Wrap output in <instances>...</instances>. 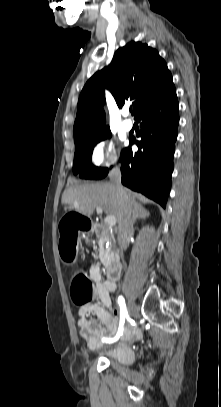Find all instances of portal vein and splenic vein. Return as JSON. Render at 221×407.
Instances as JSON below:
<instances>
[{
	"instance_id": "1",
	"label": "portal vein and splenic vein",
	"mask_w": 221,
	"mask_h": 407,
	"mask_svg": "<svg viewBox=\"0 0 221 407\" xmlns=\"http://www.w3.org/2000/svg\"><path fill=\"white\" fill-rule=\"evenodd\" d=\"M96 211L98 214H102L103 210L101 207H97ZM105 223L109 226V227H113L116 225V218L114 216L108 215L104 218Z\"/></svg>"
}]
</instances>
